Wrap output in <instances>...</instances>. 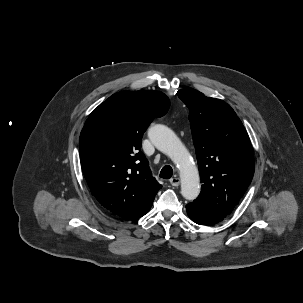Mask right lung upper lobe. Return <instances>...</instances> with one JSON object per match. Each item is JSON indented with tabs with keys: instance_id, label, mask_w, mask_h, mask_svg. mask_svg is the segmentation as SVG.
<instances>
[{
	"instance_id": "1",
	"label": "right lung upper lobe",
	"mask_w": 303,
	"mask_h": 303,
	"mask_svg": "<svg viewBox=\"0 0 303 303\" xmlns=\"http://www.w3.org/2000/svg\"><path fill=\"white\" fill-rule=\"evenodd\" d=\"M168 97L159 91L113 94L89 115L80 134L81 167L91 193L112 215H145L162 187L141 152L142 136L165 115Z\"/></svg>"
}]
</instances>
